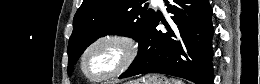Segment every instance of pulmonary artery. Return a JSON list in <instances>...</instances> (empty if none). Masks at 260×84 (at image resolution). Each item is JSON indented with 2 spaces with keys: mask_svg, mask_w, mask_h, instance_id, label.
Here are the masks:
<instances>
[{
  "mask_svg": "<svg viewBox=\"0 0 260 84\" xmlns=\"http://www.w3.org/2000/svg\"><path fill=\"white\" fill-rule=\"evenodd\" d=\"M152 3L156 4V5H161L162 4V0H152Z\"/></svg>",
  "mask_w": 260,
  "mask_h": 84,
  "instance_id": "1",
  "label": "pulmonary artery"
}]
</instances>
